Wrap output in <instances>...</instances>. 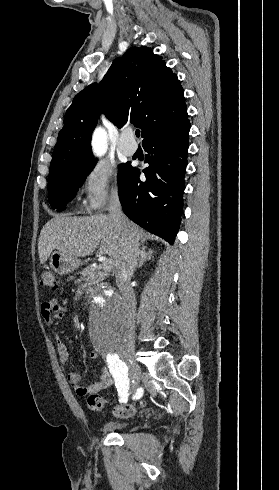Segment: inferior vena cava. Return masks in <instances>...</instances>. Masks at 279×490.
<instances>
[{"instance_id":"1","label":"inferior vena cava","mask_w":279,"mask_h":490,"mask_svg":"<svg viewBox=\"0 0 279 490\" xmlns=\"http://www.w3.org/2000/svg\"><path fill=\"white\" fill-rule=\"evenodd\" d=\"M110 220H113V224L118 228H125L129 224L126 216L122 212V206L120 204L118 194H113L109 204ZM128 232V230H127ZM127 242H125L124 256L122 262L116 264V284L120 290L122 296L123 308L126 314L127 322L130 330H134L136 322V300L134 292L130 286V280L132 274L138 264L139 260V244L134 234H127Z\"/></svg>"}]
</instances>
